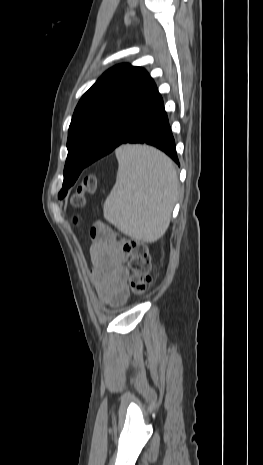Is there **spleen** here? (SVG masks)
Segmentation results:
<instances>
[{"label": "spleen", "mask_w": 263, "mask_h": 465, "mask_svg": "<svg viewBox=\"0 0 263 465\" xmlns=\"http://www.w3.org/2000/svg\"><path fill=\"white\" fill-rule=\"evenodd\" d=\"M114 187L104 202V218L124 234L154 242L166 232L178 191L173 162L162 152L142 145L116 150Z\"/></svg>", "instance_id": "spleen-1"}]
</instances>
